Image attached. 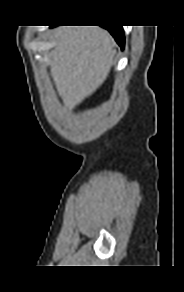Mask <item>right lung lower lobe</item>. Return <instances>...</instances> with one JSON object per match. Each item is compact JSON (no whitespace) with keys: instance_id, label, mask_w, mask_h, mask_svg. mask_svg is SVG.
<instances>
[{"instance_id":"98d812e1","label":"right lung lower lobe","mask_w":184,"mask_h":292,"mask_svg":"<svg viewBox=\"0 0 184 292\" xmlns=\"http://www.w3.org/2000/svg\"><path fill=\"white\" fill-rule=\"evenodd\" d=\"M51 27H54V26H51ZM104 28H106L112 34V36L115 38L119 46H121V48H124L125 38L123 35L124 31H123L122 26H112V27H104Z\"/></svg>"}]
</instances>
